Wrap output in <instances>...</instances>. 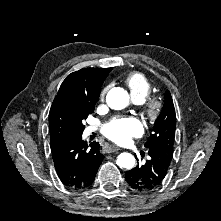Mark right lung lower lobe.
<instances>
[{
    "mask_svg": "<svg viewBox=\"0 0 221 221\" xmlns=\"http://www.w3.org/2000/svg\"><path fill=\"white\" fill-rule=\"evenodd\" d=\"M57 175L64 186L81 190L92 185L104 156L99 143L88 148L82 134L67 138L51 148Z\"/></svg>",
    "mask_w": 221,
    "mask_h": 221,
    "instance_id": "obj_1",
    "label": "right lung lower lobe"
}]
</instances>
